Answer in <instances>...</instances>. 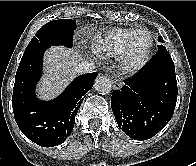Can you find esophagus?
<instances>
[{"mask_svg":"<svg viewBox=\"0 0 196 166\" xmlns=\"http://www.w3.org/2000/svg\"><path fill=\"white\" fill-rule=\"evenodd\" d=\"M113 87H114V89H120V88H122L121 81H119L118 79H114L113 80Z\"/></svg>","mask_w":196,"mask_h":166,"instance_id":"obj_1","label":"esophagus"}]
</instances>
